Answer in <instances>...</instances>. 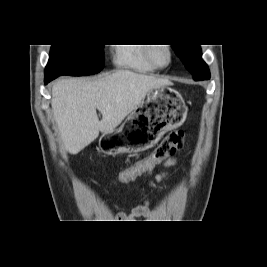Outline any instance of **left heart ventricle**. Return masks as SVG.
<instances>
[{
    "mask_svg": "<svg viewBox=\"0 0 267 267\" xmlns=\"http://www.w3.org/2000/svg\"><path fill=\"white\" fill-rule=\"evenodd\" d=\"M157 60L160 63H165L167 60V53L163 49H159L157 52Z\"/></svg>",
    "mask_w": 267,
    "mask_h": 267,
    "instance_id": "1",
    "label": "left heart ventricle"
}]
</instances>
